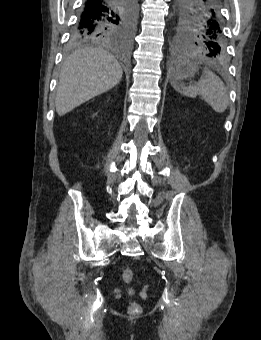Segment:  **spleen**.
<instances>
[{
  "label": "spleen",
  "mask_w": 261,
  "mask_h": 340,
  "mask_svg": "<svg viewBox=\"0 0 261 340\" xmlns=\"http://www.w3.org/2000/svg\"><path fill=\"white\" fill-rule=\"evenodd\" d=\"M172 83L188 97L195 98L200 95L217 113H223L229 105V95L223 81L208 69L203 71V77L195 86H179L174 79Z\"/></svg>",
  "instance_id": "3e777b00"
}]
</instances>
